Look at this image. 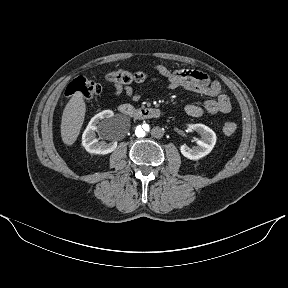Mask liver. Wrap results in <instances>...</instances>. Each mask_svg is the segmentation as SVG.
<instances>
[{"label":"liver","instance_id":"6515ba94","mask_svg":"<svg viewBox=\"0 0 288 288\" xmlns=\"http://www.w3.org/2000/svg\"><path fill=\"white\" fill-rule=\"evenodd\" d=\"M86 105L82 94L76 92L66 104L61 121V137L66 145H72L81 130L85 118Z\"/></svg>","mask_w":288,"mask_h":288}]
</instances>
